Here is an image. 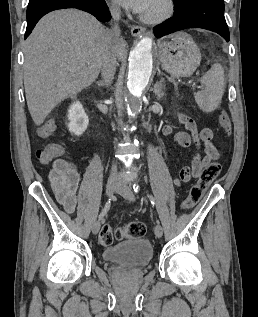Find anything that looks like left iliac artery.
<instances>
[{"mask_svg":"<svg viewBox=\"0 0 258 317\" xmlns=\"http://www.w3.org/2000/svg\"><path fill=\"white\" fill-rule=\"evenodd\" d=\"M133 190H134L135 193H139L140 187H139V185L137 183H135L133 185ZM147 196H148V199H149L152 207L154 208L155 207V199H154V197L152 195H150V194H148Z\"/></svg>","mask_w":258,"mask_h":317,"instance_id":"44dca946","label":"left iliac artery"}]
</instances>
